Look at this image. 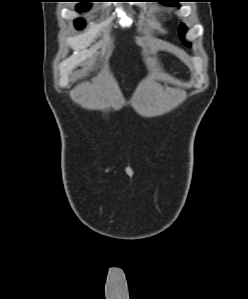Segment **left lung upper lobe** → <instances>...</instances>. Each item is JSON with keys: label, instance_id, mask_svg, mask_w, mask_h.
<instances>
[{"label": "left lung upper lobe", "instance_id": "5c2ea615", "mask_svg": "<svg viewBox=\"0 0 248 299\" xmlns=\"http://www.w3.org/2000/svg\"><path fill=\"white\" fill-rule=\"evenodd\" d=\"M180 0H165L163 3L164 4H167V5H172V6H176V5H178V2H179ZM187 31V28H186V26L184 25V24H181L180 25V29H179V33H180V37L182 38L183 37V35H184V33ZM183 43L185 44V45H187V46H190V43H188V42H186V41H184L183 40Z\"/></svg>", "mask_w": 248, "mask_h": 299}]
</instances>
